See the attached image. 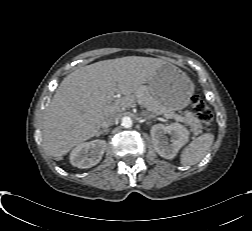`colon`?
I'll return each mask as SVG.
<instances>
[{
    "label": "colon",
    "mask_w": 252,
    "mask_h": 231,
    "mask_svg": "<svg viewBox=\"0 0 252 231\" xmlns=\"http://www.w3.org/2000/svg\"><path fill=\"white\" fill-rule=\"evenodd\" d=\"M191 106L202 125L205 128H210L213 122V113L205 101L199 96H193Z\"/></svg>",
    "instance_id": "obj_1"
}]
</instances>
